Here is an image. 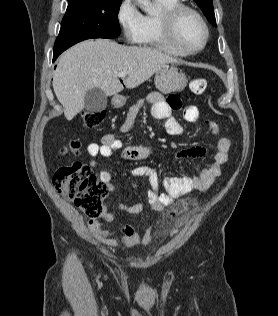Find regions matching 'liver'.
<instances>
[{
    "instance_id": "1",
    "label": "liver",
    "mask_w": 278,
    "mask_h": 316,
    "mask_svg": "<svg viewBox=\"0 0 278 316\" xmlns=\"http://www.w3.org/2000/svg\"><path fill=\"white\" fill-rule=\"evenodd\" d=\"M176 62L147 47H128L107 39L86 40L61 55L53 76V89L66 119L72 120L83 110L84 97L90 89L98 87L106 96L116 95L124 86L133 89L161 67ZM122 71L127 73L123 84L118 76Z\"/></svg>"
}]
</instances>
